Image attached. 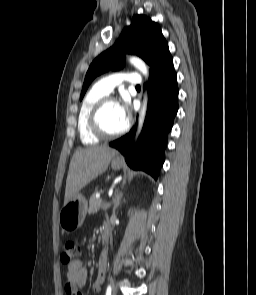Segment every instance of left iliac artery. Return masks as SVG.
I'll list each match as a JSON object with an SVG mask.
<instances>
[{
    "label": "left iliac artery",
    "instance_id": "obj_1",
    "mask_svg": "<svg viewBox=\"0 0 256 295\" xmlns=\"http://www.w3.org/2000/svg\"><path fill=\"white\" fill-rule=\"evenodd\" d=\"M112 292V287L111 285H108L107 290H106V295H111Z\"/></svg>",
    "mask_w": 256,
    "mask_h": 295
}]
</instances>
